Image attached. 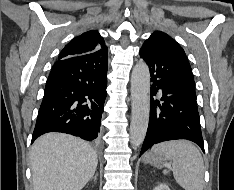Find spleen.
<instances>
[{
	"label": "spleen",
	"instance_id": "3e777b00",
	"mask_svg": "<svg viewBox=\"0 0 234 190\" xmlns=\"http://www.w3.org/2000/svg\"><path fill=\"white\" fill-rule=\"evenodd\" d=\"M152 152L162 153L172 161L174 178L185 190H203L204 162L193 143L187 140L166 141L154 145Z\"/></svg>",
	"mask_w": 234,
	"mask_h": 190
}]
</instances>
